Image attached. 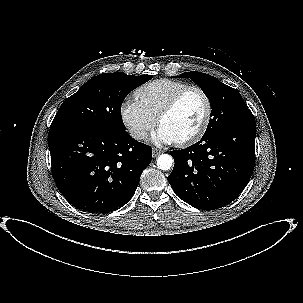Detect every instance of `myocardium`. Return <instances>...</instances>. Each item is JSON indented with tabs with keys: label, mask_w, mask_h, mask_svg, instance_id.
I'll return each mask as SVG.
<instances>
[{
	"label": "myocardium",
	"mask_w": 303,
	"mask_h": 303,
	"mask_svg": "<svg viewBox=\"0 0 303 303\" xmlns=\"http://www.w3.org/2000/svg\"><path fill=\"white\" fill-rule=\"evenodd\" d=\"M191 91H196L198 92L202 98L204 99L205 102V114L203 117V120L199 126V128L190 136L176 141L178 145L180 146H187L196 143L199 141L204 134L206 133L210 122L212 118V112H213V107H212V102L208 96V94L199 86H187L184 89L180 90L178 93H176L170 101L164 106V108L160 111L156 118V122L158 125L161 124L162 120L165 119L167 116H169L179 105L181 100L184 98L185 95H187Z\"/></svg>",
	"instance_id": "obj_1"
}]
</instances>
